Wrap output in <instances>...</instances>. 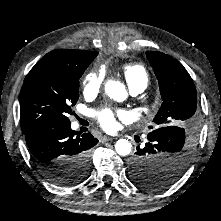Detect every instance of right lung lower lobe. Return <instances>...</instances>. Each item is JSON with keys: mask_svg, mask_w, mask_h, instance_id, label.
I'll return each instance as SVG.
<instances>
[{"mask_svg": "<svg viewBox=\"0 0 221 221\" xmlns=\"http://www.w3.org/2000/svg\"><path fill=\"white\" fill-rule=\"evenodd\" d=\"M75 134L70 123H45L24 132L33 160L47 179L62 178L60 170L69 159L80 155L87 157L98 143L90 133L73 137Z\"/></svg>", "mask_w": 221, "mask_h": 221, "instance_id": "obj_1", "label": "right lung lower lobe"}]
</instances>
